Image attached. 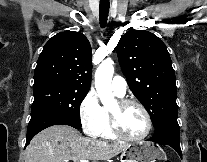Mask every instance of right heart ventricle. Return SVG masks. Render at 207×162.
Returning <instances> with one entry per match:
<instances>
[{
  "label": "right heart ventricle",
  "instance_id": "e07e8e85",
  "mask_svg": "<svg viewBox=\"0 0 207 162\" xmlns=\"http://www.w3.org/2000/svg\"><path fill=\"white\" fill-rule=\"evenodd\" d=\"M103 112L105 115V121H104V125L102 127V130H101L99 136L104 139H114L115 135L113 134L111 127H110V122H109L107 110L103 109Z\"/></svg>",
  "mask_w": 207,
  "mask_h": 162
}]
</instances>
